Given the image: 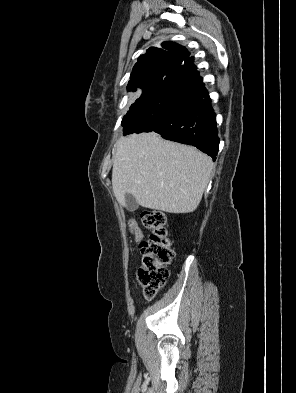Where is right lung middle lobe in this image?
Listing matches in <instances>:
<instances>
[{"mask_svg": "<svg viewBox=\"0 0 296 393\" xmlns=\"http://www.w3.org/2000/svg\"><path fill=\"white\" fill-rule=\"evenodd\" d=\"M164 79H156L147 83L142 89L143 93L140 98H138L130 107V110L124 117L122 121V126L127 125L129 122L133 121L137 115L141 112L146 104L150 102L156 93L158 87Z\"/></svg>", "mask_w": 296, "mask_h": 393, "instance_id": "1", "label": "right lung middle lobe"}]
</instances>
